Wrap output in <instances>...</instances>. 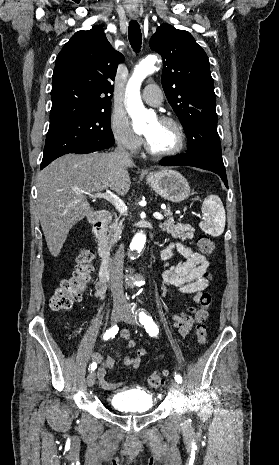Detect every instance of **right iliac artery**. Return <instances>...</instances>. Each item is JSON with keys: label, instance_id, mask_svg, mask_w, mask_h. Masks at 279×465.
I'll return each mask as SVG.
<instances>
[{"label": "right iliac artery", "instance_id": "right-iliac-artery-1", "mask_svg": "<svg viewBox=\"0 0 279 465\" xmlns=\"http://www.w3.org/2000/svg\"><path fill=\"white\" fill-rule=\"evenodd\" d=\"M118 326L115 325L113 327H111L109 330L106 331V333L104 334L103 338L104 340H108L110 338H114L115 335L117 334L118 332ZM90 370H95L97 368V364L96 363H92L90 366H89Z\"/></svg>", "mask_w": 279, "mask_h": 465}]
</instances>
